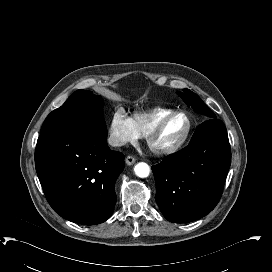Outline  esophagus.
<instances>
[{
	"label": "esophagus",
	"mask_w": 272,
	"mask_h": 272,
	"mask_svg": "<svg viewBox=\"0 0 272 272\" xmlns=\"http://www.w3.org/2000/svg\"><path fill=\"white\" fill-rule=\"evenodd\" d=\"M136 159L132 156H127L125 159V162L127 165H133L135 163Z\"/></svg>",
	"instance_id": "obj_1"
}]
</instances>
